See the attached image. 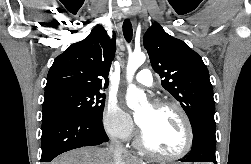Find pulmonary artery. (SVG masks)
<instances>
[{
	"label": "pulmonary artery",
	"mask_w": 251,
	"mask_h": 164,
	"mask_svg": "<svg viewBox=\"0 0 251 164\" xmlns=\"http://www.w3.org/2000/svg\"><path fill=\"white\" fill-rule=\"evenodd\" d=\"M135 82L143 86L151 87L153 85V76L150 70L143 69L134 77Z\"/></svg>",
	"instance_id": "pulmonary-artery-1"
}]
</instances>
